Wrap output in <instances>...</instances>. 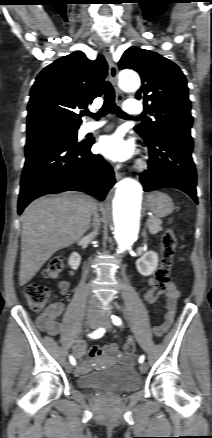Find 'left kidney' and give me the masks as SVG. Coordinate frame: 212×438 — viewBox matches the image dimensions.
Listing matches in <instances>:
<instances>
[{"mask_svg":"<svg viewBox=\"0 0 212 438\" xmlns=\"http://www.w3.org/2000/svg\"><path fill=\"white\" fill-rule=\"evenodd\" d=\"M158 261V255L153 251H148L136 261V268L141 275L150 276L157 269Z\"/></svg>","mask_w":212,"mask_h":438,"instance_id":"1","label":"left kidney"}]
</instances>
